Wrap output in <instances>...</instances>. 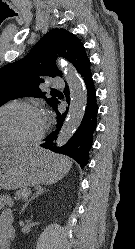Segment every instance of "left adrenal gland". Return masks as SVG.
<instances>
[{"mask_svg": "<svg viewBox=\"0 0 135 249\" xmlns=\"http://www.w3.org/2000/svg\"><path fill=\"white\" fill-rule=\"evenodd\" d=\"M47 191H48V189L39 188V189L36 191V193L33 194L32 197H31L29 200H27V202L23 205V207H22V209H21V211H20V214L23 213V211L25 210V208L28 206V204H29L32 200H34L35 198H37L38 196H40L41 194H43V193H45V192H47Z\"/></svg>", "mask_w": 135, "mask_h": 249, "instance_id": "obj_1", "label": "left adrenal gland"}]
</instances>
